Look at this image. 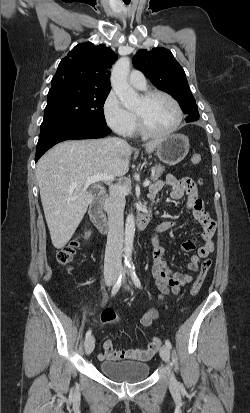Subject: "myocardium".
<instances>
[{
    "mask_svg": "<svg viewBox=\"0 0 250 413\" xmlns=\"http://www.w3.org/2000/svg\"><path fill=\"white\" fill-rule=\"evenodd\" d=\"M163 96L165 98H167L175 107L176 112H177V119L175 124L173 125V127L171 129H169L166 132H154L152 131L147 123L146 120L143 116L142 113L135 111V116L137 119V124H138V129L141 132V134L147 138H153V139H161V138H166L172 134H174L180 127L182 121H183V111L182 108L179 104V102L168 92L163 91V90H159V89H151V90H147L143 93L142 98L145 101H149L151 98H153L154 96Z\"/></svg>",
    "mask_w": 250,
    "mask_h": 413,
    "instance_id": "1",
    "label": "myocardium"
}]
</instances>
